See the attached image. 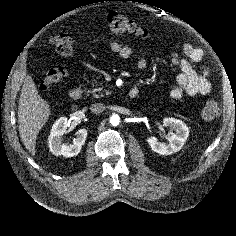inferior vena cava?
Instances as JSON below:
<instances>
[{
  "mask_svg": "<svg viewBox=\"0 0 236 236\" xmlns=\"http://www.w3.org/2000/svg\"><path fill=\"white\" fill-rule=\"evenodd\" d=\"M105 110V106L103 103H94L90 106V111L95 114H100Z\"/></svg>",
  "mask_w": 236,
  "mask_h": 236,
  "instance_id": "obj_1",
  "label": "inferior vena cava"
}]
</instances>
